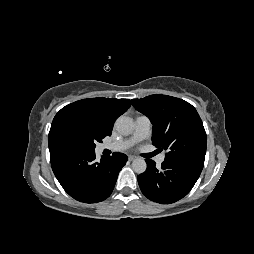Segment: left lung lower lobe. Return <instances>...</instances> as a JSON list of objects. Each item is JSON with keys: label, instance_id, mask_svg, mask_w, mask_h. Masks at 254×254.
Returning a JSON list of instances; mask_svg holds the SVG:
<instances>
[{"label": "left lung lower lobe", "instance_id": "obj_1", "mask_svg": "<svg viewBox=\"0 0 254 254\" xmlns=\"http://www.w3.org/2000/svg\"><path fill=\"white\" fill-rule=\"evenodd\" d=\"M146 162L147 169L138 175V184L148 199L161 204L174 203L187 195L203 169V164L189 160H164L159 170L153 160Z\"/></svg>", "mask_w": 254, "mask_h": 254}]
</instances>
